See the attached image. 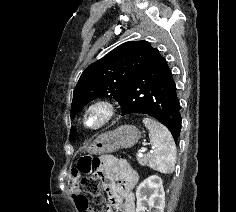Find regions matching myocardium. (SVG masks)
Instances as JSON below:
<instances>
[{"label":"myocardium","mask_w":236,"mask_h":212,"mask_svg":"<svg viewBox=\"0 0 236 212\" xmlns=\"http://www.w3.org/2000/svg\"><path fill=\"white\" fill-rule=\"evenodd\" d=\"M99 111L102 114L101 120L97 124H89V116L95 112ZM116 113L115 106L108 100L98 99L91 102L84 110L82 115L83 125L90 130H98L109 123Z\"/></svg>","instance_id":"obj_1"}]
</instances>
